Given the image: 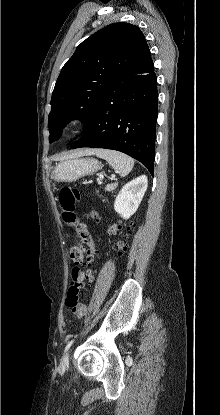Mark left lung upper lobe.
<instances>
[{
  "label": "left lung upper lobe",
  "instance_id": "obj_1",
  "mask_svg": "<svg viewBox=\"0 0 220 415\" xmlns=\"http://www.w3.org/2000/svg\"><path fill=\"white\" fill-rule=\"evenodd\" d=\"M150 60L143 33L129 23L110 24L83 41L56 81L48 116L49 141L57 140L73 119H80L86 128L114 81L143 69Z\"/></svg>",
  "mask_w": 220,
  "mask_h": 415
}]
</instances>
